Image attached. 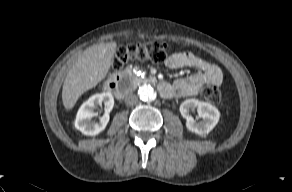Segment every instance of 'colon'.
Masks as SVG:
<instances>
[{"label":"colon","mask_w":292,"mask_h":192,"mask_svg":"<svg viewBox=\"0 0 292 192\" xmlns=\"http://www.w3.org/2000/svg\"><path fill=\"white\" fill-rule=\"evenodd\" d=\"M167 45L161 41H147L133 43L118 49L113 60V70H120L127 62L132 60L150 61L161 63L166 59ZM201 95L207 101L218 104L222 99V91L218 85H208L201 91Z\"/></svg>","instance_id":"5ec220e1"}]
</instances>
